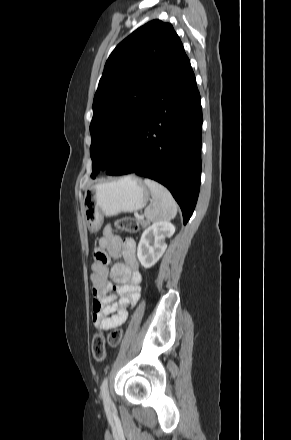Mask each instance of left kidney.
<instances>
[{
  "label": "left kidney",
  "mask_w": 291,
  "mask_h": 440,
  "mask_svg": "<svg viewBox=\"0 0 291 440\" xmlns=\"http://www.w3.org/2000/svg\"><path fill=\"white\" fill-rule=\"evenodd\" d=\"M174 232L175 226L169 221L154 222L144 230L137 247V257L144 268L157 263L167 248L166 238Z\"/></svg>",
  "instance_id": "5707ae66"
}]
</instances>
